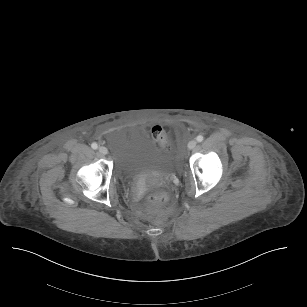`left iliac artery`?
Here are the masks:
<instances>
[{"label": "left iliac artery", "mask_w": 307, "mask_h": 307, "mask_svg": "<svg viewBox=\"0 0 307 307\" xmlns=\"http://www.w3.org/2000/svg\"><path fill=\"white\" fill-rule=\"evenodd\" d=\"M203 139H204V137H203L202 135H198V136L196 137V140H197L198 142H202Z\"/></svg>", "instance_id": "left-iliac-artery-1"}]
</instances>
